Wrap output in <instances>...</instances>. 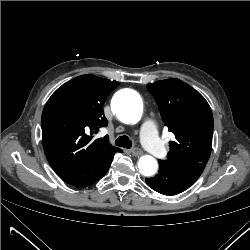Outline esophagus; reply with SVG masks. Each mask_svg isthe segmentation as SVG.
Segmentation results:
<instances>
[{
    "label": "esophagus",
    "mask_w": 250,
    "mask_h": 250,
    "mask_svg": "<svg viewBox=\"0 0 250 250\" xmlns=\"http://www.w3.org/2000/svg\"><path fill=\"white\" fill-rule=\"evenodd\" d=\"M131 153L135 157H139L143 154L142 150L139 148H134L133 150H131Z\"/></svg>",
    "instance_id": "1"
}]
</instances>
